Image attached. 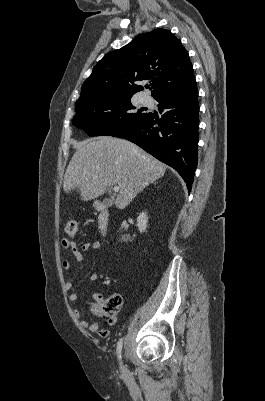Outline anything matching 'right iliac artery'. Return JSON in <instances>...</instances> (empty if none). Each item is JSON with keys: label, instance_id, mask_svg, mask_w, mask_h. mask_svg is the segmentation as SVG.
<instances>
[{"label": "right iliac artery", "instance_id": "obj_1", "mask_svg": "<svg viewBox=\"0 0 265 401\" xmlns=\"http://www.w3.org/2000/svg\"><path fill=\"white\" fill-rule=\"evenodd\" d=\"M122 346H123V338L119 339V341L117 343V349H116L117 356L120 361H121Z\"/></svg>", "mask_w": 265, "mask_h": 401}]
</instances>
